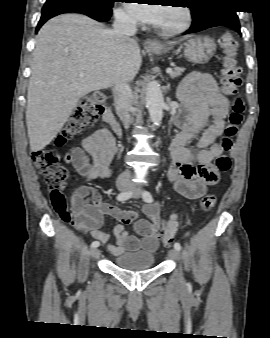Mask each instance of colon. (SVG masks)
Wrapping results in <instances>:
<instances>
[{"instance_id": "1", "label": "colon", "mask_w": 270, "mask_h": 338, "mask_svg": "<svg viewBox=\"0 0 270 338\" xmlns=\"http://www.w3.org/2000/svg\"><path fill=\"white\" fill-rule=\"evenodd\" d=\"M218 46L223 57L221 70V85L226 93H237L241 85V68L237 62L236 54L238 43L231 34H224L218 40ZM104 96L93 94L82 99L73 110L70 119L65 123L56 138L57 145H64L69 140L80 135L86 128L94 124L104 110ZM243 103L239 97L232 104L228 118L225 136L222 138V148L230 151L232 140L242 122ZM35 167L41 172L48 188L51 190V202L53 210L63 219L69 220V215L60 204L63 198L62 191L69 185L72 177L68 170L59 163L60 154L54 148L36 150L31 155ZM231 167V159L227 154L219 156L215 161V168L221 172H227ZM216 203V197L212 194L204 196L200 201L202 211L210 212ZM179 227L176 218L171 219L163 228L162 241L165 246H170Z\"/></svg>"}]
</instances>
